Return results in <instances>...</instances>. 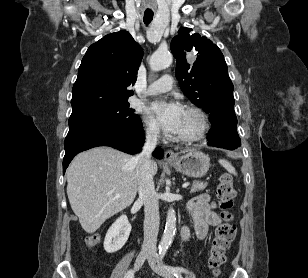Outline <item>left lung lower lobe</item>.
Here are the masks:
<instances>
[{"mask_svg": "<svg viewBox=\"0 0 308 278\" xmlns=\"http://www.w3.org/2000/svg\"><path fill=\"white\" fill-rule=\"evenodd\" d=\"M212 128L208 133L207 145L234 150L241 145L237 133V118L234 108L222 106L210 113Z\"/></svg>", "mask_w": 308, "mask_h": 278, "instance_id": "1", "label": "left lung lower lobe"}]
</instances>
